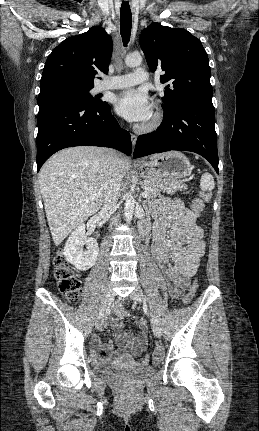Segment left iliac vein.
<instances>
[{
	"instance_id": "obj_1",
	"label": "left iliac vein",
	"mask_w": 259,
	"mask_h": 431,
	"mask_svg": "<svg viewBox=\"0 0 259 431\" xmlns=\"http://www.w3.org/2000/svg\"><path fill=\"white\" fill-rule=\"evenodd\" d=\"M130 298L134 301L142 303L144 301V298H143V293H142L141 288L137 286L134 289V291L131 292ZM150 321H151V327H152V330H153L155 337L160 338V336H161L160 324L153 314L150 315Z\"/></svg>"
}]
</instances>
